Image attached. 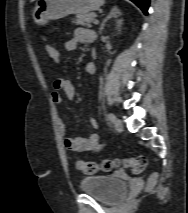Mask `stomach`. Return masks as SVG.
Segmentation results:
<instances>
[{"label": "stomach", "instance_id": "1", "mask_svg": "<svg viewBox=\"0 0 188 213\" xmlns=\"http://www.w3.org/2000/svg\"><path fill=\"white\" fill-rule=\"evenodd\" d=\"M103 0H37L33 20L46 25L49 20L64 18L70 14H87L99 9Z\"/></svg>", "mask_w": 188, "mask_h": 213}]
</instances>
